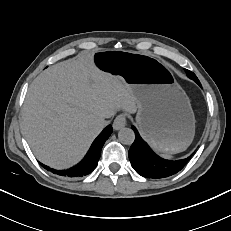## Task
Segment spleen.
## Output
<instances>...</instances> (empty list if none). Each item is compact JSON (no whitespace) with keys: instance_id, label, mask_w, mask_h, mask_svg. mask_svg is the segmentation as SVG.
Returning a JSON list of instances; mask_svg holds the SVG:
<instances>
[{"instance_id":"spleen-1","label":"spleen","mask_w":231,"mask_h":231,"mask_svg":"<svg viewBox=\"0 0 231 231\" xmlns=\"http://www.w3.org/2000/svg\"><path fill=\"white\" fill-rule=\"evenodd\" d=\"M164 156H165L166 158H170V157H171L170 155H166V154H165Z\"/></svg>"}]
</instances>
